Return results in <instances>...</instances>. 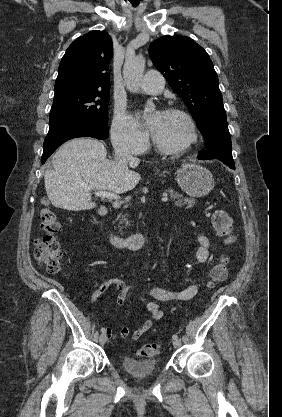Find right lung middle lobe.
<instances>
[{"label":"right lung middle lobe","mask_w":282,"mask_h":417,"mask_svg":"<svg viewBox=\"0 0 282 417\" xmlns=\"http://www.w3.org/2000/svg\"><path fill=\"white\" fill-rule=\"evenodd\" d=\"M110 92L98 89H71L55 92L49 127L70 120H86L98 128L108 129Z\"/></svg>","instance_id":"obj_1"}]
</instances>
